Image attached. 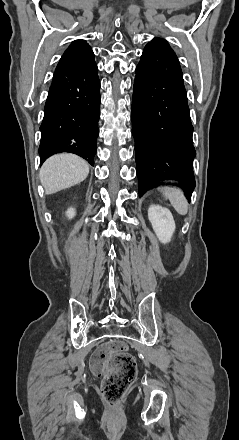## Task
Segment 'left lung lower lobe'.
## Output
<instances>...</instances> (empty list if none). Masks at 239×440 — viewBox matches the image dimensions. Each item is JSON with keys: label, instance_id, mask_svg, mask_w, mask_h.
Instances as JSON below:
<instances>
[{"label": "left lung lower lobe", "instance_id": "0a47b994", "mask_svg": "<svg viewBox=\"0 0 239 440\" xmlns=\"http://www.w3.org/2000/svg\"><path fill=\"white\" fill-rule=\"evenodd\" d=\"M131 118L139 195L153 182L176 180L190 200L195 187L193 126L172 49L146 45L136 68Z\"/></svg>", "mask_w": 239, "mask_h": 440}]
</instances>
